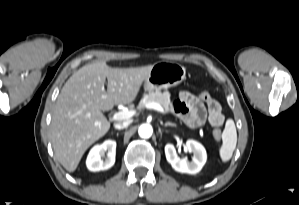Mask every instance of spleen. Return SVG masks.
Wrapping results in <instances>:
<instances>
[{
  "label": "spleen",
  "mask_w": 299,
  "mask_h": 205,
  "mask_svg": "<svg viewBox=\"0 0 299 205\" xmlns=\"http://www.w3.org/2000/svg\"><path fill=\"white\" fill-rule=\"evenodd\" d=\"M237 144V132L234 121L229 119L226 122L225 129L222 134V145L219 149V155L223 163L228 162Z\"/></svg>",
  "instance_id": "3e777b00"
}]
</instances>
